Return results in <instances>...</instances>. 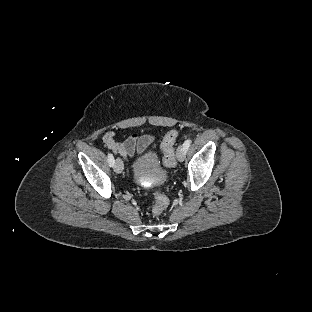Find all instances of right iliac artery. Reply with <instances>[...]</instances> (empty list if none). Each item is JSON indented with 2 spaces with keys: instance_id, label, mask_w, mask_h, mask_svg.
Returning <instances> with one entry per match:
<instances>
[{
  "instance_id": "1",
  "label": "right iliac artery",
  "mask_w": 312,
  "mask_h": 312,
  "mask_svg": "<svg viewBox=\"0 0 312 312\" xmlns=\"http://www.w3.org/2000/svg\"><path fill=\"white\" fill-rule=\"evenodd\" d=\"M108 163H109L110 167H112L115 163L114 157L111 153H108Z\"/></svg>"
}]
</instances>
